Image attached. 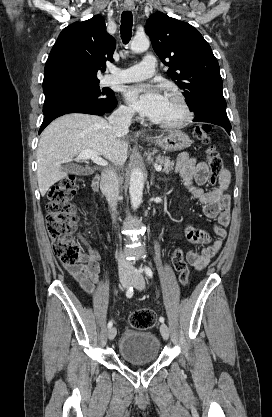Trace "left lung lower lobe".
Returning a JSON list of instances; mask_svg holds the SVG:
<instances>
[{
    "instance_id": "0a47b994",
    "label": "left lung lower lobe",
    "mask_w": 272,
    "mask_h": 417,
    "mask_svg": "<svg viewBox=\"0 0 272 417\" xmlns=\"http://www.w3.org/2000/svg\"><path fill=\"white\" fill-rule=\"evenodd\" d=\"M193 121H195V122H208V123H212V124H215V125H219V126L223 127L227 131L228 134H230L231 125L226 124V123L221 122V121H218L216 119L196 117V118H194Z\"/></svg>"
}]
</instances>
